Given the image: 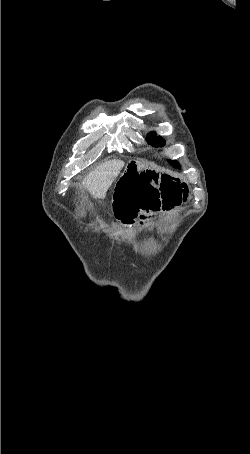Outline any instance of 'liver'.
<instances>
[{
  "label": "liver",
  "mask_w": 250,
  "mask_h": 454,
  "mask_svg": "<svg viewBox=\"0 0 250 454\" xmlns=\"http://www.w3.org/2000/svg\"><path fill=\"white\" fill-rule=\"evenodd\" d=\"M121 160H111L101 163L91 171L83 181V186L95 198L103 199L106 192L124 167Z\"/></svg>",
  "instance_id": "liver-1"
}]
</instances>
